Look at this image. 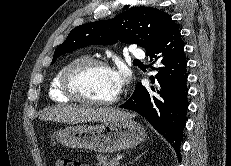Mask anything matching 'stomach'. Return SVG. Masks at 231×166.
<instances>
[{
	"instance_id": "obj_1",
	"label": "stomach",
	"mask_w": 231,
	"mask_h": 166,
	"mask_svg": "<svg viewBox=\"0 0 231 166\" xmlns=\"http://www.w3.org/2000/svg\"><path fill=\"white\" fill-rule=\"evenodd\" d=\"M145 139L144 128L132 120L131 116L100 125H77L57 131V141L60 144L99 153L129 149Z\"/></svg>"
}]
</instances>
